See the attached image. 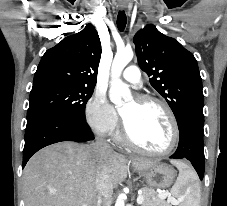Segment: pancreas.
Returning a JSON list of instances; mask_svg holds the SVG:
<instances>
[{
  "mask_svg": "<svg viewBox=\"0 0 227 206\" xmlns=\"http://www.w3.org/2000/svg\"><path fill=\"white\" fill-rule=\"evenodd\" d=\"M144 201L142 206H171L168 202L159 197V194L154 189L144 187L141 189Z\"/></svg>",
  "mask_w": 227,
  "mask_h": 206,
  "instance_id": "cf45deb5",
  "label": "pancreas"
}]
</instances>
